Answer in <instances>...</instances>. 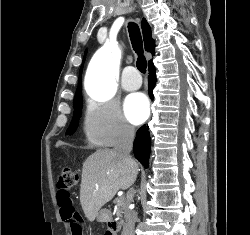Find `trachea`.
<instances>
[{
    "label": "trachea",
    "instance_id": "obj_1",
    "mask_svg": "<svg viewBox=\"0 0 250 235\" xmlns=\"http://www.w3.org/2000/svg\"><path fill=\"white\" fill-rule=\"evenodd\" d=\"M128 31L133 50L138 55L136 66L141 73H146L147 62L143 55V42L138 25L134 22L128 24Z\"/></svg>",
    "mask_w": 250,
    "mask_h": 235
}]
</instances>
